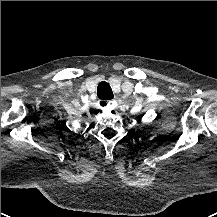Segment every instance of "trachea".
Here are the masks:
<instances>
[{
	"label": "trachea",
	"mask_w": 217,
	"mask_h": 217,
	"mask_svg": "<svg viewBox=\"0 0 217 217\" xmlns=\"http://www.w3.org/2000/svg\"><path fill=\"white\" fill-rule=\"evenodd\" d=\"M97 96L102 100H111L114 97L112 89L107 82L102 81L99 83L97 87Z\"/></svg>",
	"instance_id": "3493384b"
}]
</instances>
